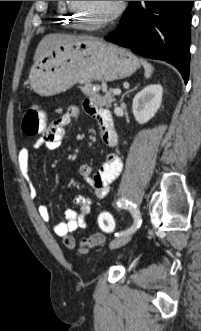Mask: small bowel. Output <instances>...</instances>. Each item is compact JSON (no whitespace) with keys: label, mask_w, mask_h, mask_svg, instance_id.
Instances as JSON below:
<instances>
[{"label":"small bowel","mask_w":201,"mask_h":331,"mask_svg":"<svg viewBox=\"0 0 201 331\" xmlns=\"http://www.w3.org/2000/svg\"><path fill=\"white\" fill-rule=\"evenodd\" d=\"M95 118L98 122L102 141L108 147H114L117 144V133L114 128L112 115L109 110L100 107L90 100H86L83 109L72 105L59 118L53 120L48 126L43 136L36 139L31 147H24L18 154L19 169L28 182L30 195L37 196V188L31 179L30 162L34 150L44 148L50 151L61 147L67 126L72 120L79 118L82 112ZM122 161L120 157L109 152L106 155L104 163L96 174H92V169L88 164H82L79 167V175L84 179L92 189V196H76L74 203L79 207L78 210L66 209L64 211V222H57L52 225L53 232L62 239L64 245L70 249L77 247L76 240L72 233L86 227V217L91 211L93 198H103L108 194L109 185L120 175L122 171ZM40 217L45 222L51 220V212L46 204H41L38 208ZM79 251L87 252L88 247L79 246Z\"/></svg>","instance_id":"small-bowel-1"}]
</instances>
